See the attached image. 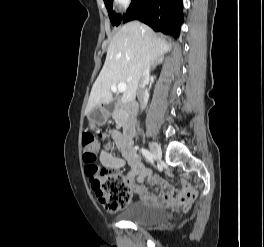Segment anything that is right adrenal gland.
<instances>
[{
  "label": "right adrenal gland",
  "mask_w": 264,
  "mask_h": 247,
  "mask_svg": "<svg viewBox=\"0 0 264 247\" xmlns=\"http://www.w3.org/2000/svg\"><path fill=\"white\" fill-rule=\"evenodd\" d=\"M162 61H163V58L162 57H160L155 63H153L152 64V69L153 68H155L156 67V65H158V64H160V63H162Z\"/></svg>",
  "instance_id": "2a0ac1e0"
}]
</instances>
